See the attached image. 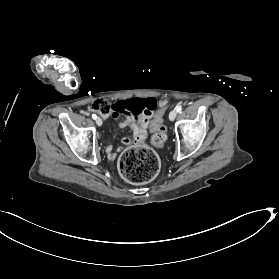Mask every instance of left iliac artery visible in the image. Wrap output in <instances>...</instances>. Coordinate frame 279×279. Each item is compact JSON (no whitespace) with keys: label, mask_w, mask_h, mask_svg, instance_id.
<instances>
[{"label":"left iliac artery","mask_w":279,"mask_h":279,"mask_svg":"<svg viewBox=\"0 0 279 279\" xmlns=\"http://www.w3.org/2000/svg\"><path fill=\"white\" fill-rule=\"evenodd\" d=\"M181 110H182L181 106H177V107H176V111H177L178 113L181 112Z\"/></svg>","instance_id":"44dca946"}]
</instances>
